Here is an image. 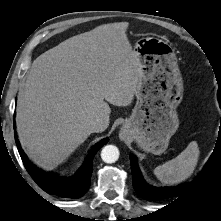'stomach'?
Returning <instances> with one entry per match:
<instances>
[{"mask_svg": "<svg viewBox=\"0 0 221 221\" xmlns=\"http://www.w3.org/2000/svg\"><path fill=\"white\" fill-rule=\"evenodd\" d=\"M140 63L136 104L121 135L133 139L146 152L160 155L179 127L177 107L183 98V81L174 49L155 37L136 41Z\"/></svg>", "mask_w": 221, "mask_h": 221, "instance_id": "1", "label": "stomach"}]
</instances>
